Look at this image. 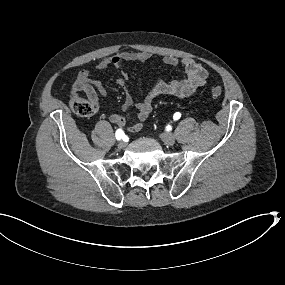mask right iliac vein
Here are the masks:
<instances>
[{"instance_id": "right-iliac-vein-1", "label": "right iliac vein", "mask_w": 285, "mask_h": 285, "mask_svg": "<svg viewBox=\"0 0 285 285\" xmlns=\"http://www.w3.org/2000/svg\"><path fill=\"white\" fill-rule=\"evenodd\" d=\"M126 145H127V143H126L125 141H120V142L118 143V148H119V149H123V148L126 147Z\"/></svg>"}]
</instances>
